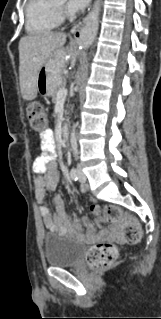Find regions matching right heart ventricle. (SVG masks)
<instances>
[{
	"mask_svg": "<svg viewBox=\"0 0 161 319\" xmlns=\"http://www.w3.org/2000/svg\"><path fill=\"white\" fill-rule=\"evenodd\" d=\"M60 10L53 0H29L26 6V31L38 36L53 31L60 22Z\"/></svg>",
	"mask_w": 161,
	"mask_h": 319,
	"instance_id": "1",
	"label": "right heart ventricle"
}]
</instances>
